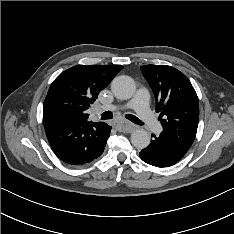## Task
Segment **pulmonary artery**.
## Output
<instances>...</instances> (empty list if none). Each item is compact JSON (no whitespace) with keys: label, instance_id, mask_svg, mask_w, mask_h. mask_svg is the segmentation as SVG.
<instances>
[{"label":"pulmonary artery","instance_id":"obj_1","mask_svg":"<svg viewBox=\"0 0 234 234\" xmlns=\"http://www.w3.org/2000/svg\"><path fill=\"white\" fill-rule=\"evenodd\" d=\"M148 99H149L148 91L142 88L136 93L135 98L131 102L124 105L107 106L104 107V109L118 111L127 108H134L137 114L139 115V117L145 122L148 129L158 131L160 125L156 121L153 113L150 111L148 107Z\"/></svg>","mask_w":234,"mask_h":234}]
</instances>
